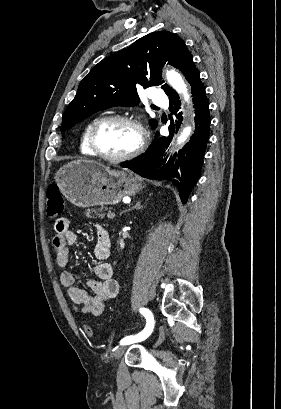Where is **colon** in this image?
<instances>
[{"instance_id":"colon-1","label":"colon","mask_w":281,"mask_h":409,"mask_svg":"<svg viewBox=\"0 0 281 409\" xmlns=\"http://www.w3.org/2000/svg\"><path fill=\"white\" fill-rule=\"evenodd\" d=\"M64 210V202L57 185L50 186L47 189V214L49 218H58ZM87 335L92 333L90 328L85 330Z\"/></svg>"}]
</instances>
